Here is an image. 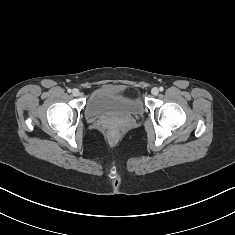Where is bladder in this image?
<instances>
[{"label":"bladder","mask_w":235,"mask_h":235,"mask_svg":"<svg viewBox=\"0 0 235 235\" xmlns=\"http://www.w3.org/2000/svg\"><path fill=\"white\" fill-rule=\"evenodd\" d=\"M142 113L143 104L140 99L123 94L115 85L93 91L85 107V114L89 119L132 117Z\"/></svg>","instance_id":"bladder-1"}]
</instances>
